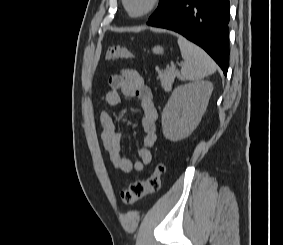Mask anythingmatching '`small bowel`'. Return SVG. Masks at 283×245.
Returning <instances> with one entry per match:
<instances>
[{"instance_id": "c3829d8e", "label": "small bowel", "mask_w": 283, "mask_h": 245, "mask_svg": "<svg viewBox=\"0 0 283 245\" xmlns=\"http://www.w3.org/2000/svg\"><path fill=\"white\" fill-rule=\"evenodd\" d=\"M109 91L106 102L110 108H115L121 101V94L137 99L142 109L141 129L143 142L138 150V159L131 161L121 154L122 134L117 129L113 116L108 112L100 114L102 127L101 142L103 150L108 155L110 165L124 173L142 172L152 160L151 148L157 140L156 121L158 112L153 102L151 89L146 85L142 75L133 69H124L108 78Z\"/></svg>"}]
</instances>
